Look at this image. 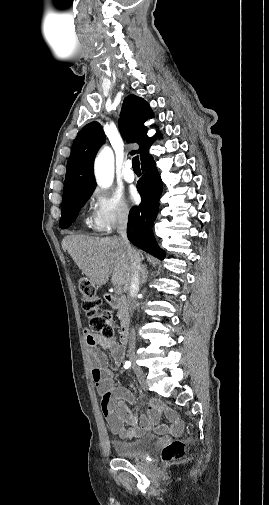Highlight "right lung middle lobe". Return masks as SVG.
<instances>
[{"instance_id":"1","label":"right lung middle lobe","mask_w":269,"mask_h":505,"mask_svg":"<svg viewBox=\"0 0 269 505\" xmlns=\"http://www.w3.org/2000/svg\"><path fill=\"white\" fill-rule=\"evenodd\" d=\"M94 189L76 194L62 202V216L59 227L68 228L78 215L80 208L89 199Z\"/></svg>"}]
</instances>
